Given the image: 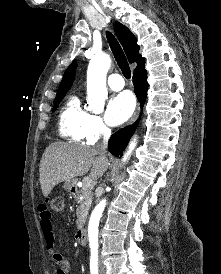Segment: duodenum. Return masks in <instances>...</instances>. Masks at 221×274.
<instances>
[{"label": "duodenum", "instance_id": "410a0bca", "mask_svg": "<svg viewBox=\"0 0 221 274\" xmlns=\"http://www.w3.org/2000/svg\"><path fill=\"white\" fill-rule=\"evenodd\" d=\"M77 242L84 246L87 243V230L85 227H81L76 234Z\"/></svg>", "mask_w": 221, "mask_h": 274}]
</instances>
